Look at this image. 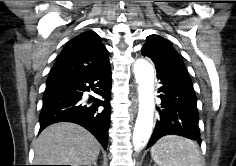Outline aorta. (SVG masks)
Here are the masks:
<instances>
[{"label":"aorta","instance_id":"aorta-1","mask_svg":"<svg viewBox=\"0 0 236 166\" xmlns=\"http://www.w3.org/2000/svg\"><path fill=\"white\" fill-rule=\"evenodd\" d=\"M134 74L138 84L139 111L133 132L135 149L143 147L149 140L154 116V69L144 59L134 64Z\"/></svg>","mask_w":236,"mask_h":166}]
</instances>
